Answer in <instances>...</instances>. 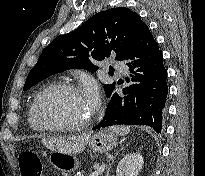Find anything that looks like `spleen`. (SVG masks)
<instances>
[{
    "instance_id": "obj_1",
    "label": "spleen",
    "mask_w": 205,
    "mask_h": 176,
    "mask_svg": "<svg viewBox=\"0 0 205 176\" xmlns=\"http://www.w3.org/2000/svg\"><path fill=\"white\" fill-rule=\"evenodd\" d=\"M110 130L112 132L116 133L117 135L124 136V135L129 133L130 127H128V126H113L110 128Z\"/></svg>"
}]
</instances>
